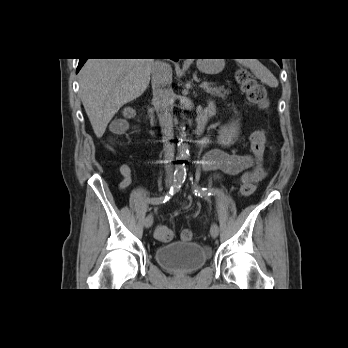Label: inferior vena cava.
Here are the masks:
<instances>
[{
	"label": "inferior vena cava",
	"instance_id": "1",
	"mask_svg": "<svg viewBox=\"0 0 348 348\" xmlns=\"http://www.w3.org/2000/svg\"><path fill=\"white\" fill-rule=\"evenodd\" d=\"M151 84L153 90V105L163 133L164 156L168 161L174 158L173 139V104L175 94L172 89V69L169 64L156 60L152 66Z\"/></svg>",
	"mask_w": 348,
	"mask_h": 348
}]
</instances>
